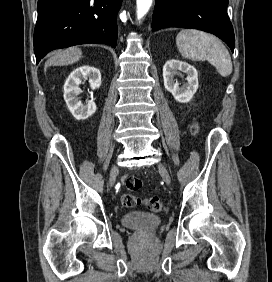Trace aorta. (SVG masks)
Masks as SVG:
<instances>
[{
	"label": "aorta",
	"mask_w": 272,
	"mask_h": 282,
	"mask_svg": "<svg viewBox=\"0 0 272 282\" xmlns=\"http://www.w3.org/2000/svg\"><path fill=\"white\" fill-rule=\"evenodd\" d=\"M153 0H136L137 3V18H143L149 11Z\"/></svg>",
	"instance_id": "1"
}]
</instances>
